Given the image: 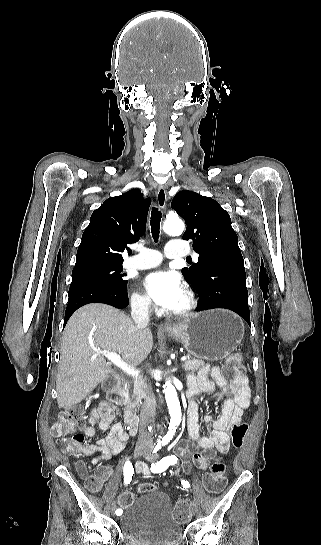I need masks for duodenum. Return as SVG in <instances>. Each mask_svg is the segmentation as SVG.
<instances>
[{"instance_id":"obj_1","label":"duodenum","mask_w":321,"mask_h":545,"mask_svg":"<svg viewBox=\"0 0 321 545\" xmlns=\"http://www.w3.org/2000/svg\"><path fill=\"white\" fill-rule=\"evenodd\" d=\"M104 390L108 395V399L116 404H124V380L120 377H111L105 380L103 384ZM125 424L130 435L137 433L139 417L130 408L125 413Z\"/></svg>"}]
</instances>
